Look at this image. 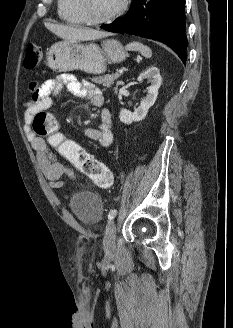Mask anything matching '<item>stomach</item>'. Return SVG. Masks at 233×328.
Masks as SVG:
<instances>
[{
	"mask_svg": "<svg viewBox=\"0 0 233 328\" xmlns=\"http://www.w3.org/2000/svg\"><path fill=\"white\" fill-rule=\"evenodd\" d=\"M126 53L122 44L114 39L96 43L63 41L55 43L47 52V65L57 72L81 70L86 73H104L108 64L122 62Z\"/></svg>",
	"mask_w": 233,
	"mask_h": 328,
	"instance_id": "1",
	"label": "stomach"
}]
</instances>
